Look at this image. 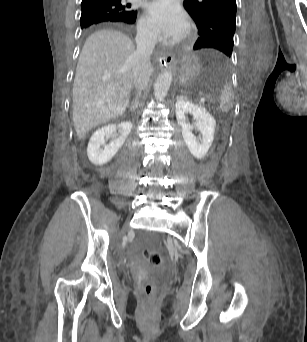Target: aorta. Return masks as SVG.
<instances>
[{"instance_id": "obj_1", "label": "aorta", "mask_w": 307, "mask_h": 342, "mask_svg": "<svg viewBox=\"0 0 307 342\" xmlns=\"http://www.w3.org/2000/svg\"><path fill=\"white\" fill-rule=\"evenodd\" d=\"M173 74L172 72H162L155 80L154 84V96L156 100H164L168 94V90L172 84Z\"/></svg>"}]
</instances>
